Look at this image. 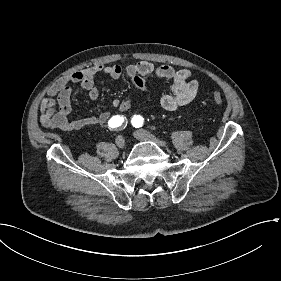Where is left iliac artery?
<instances>
[{"instance_id": "left-iliac-artery-1", "label": "left iliac artery", "mask_w": 281, "mask_h": 281, "mask_svg": "<svg viewBox=\"0 0 281 281\" xmlns=\"http://www.w3.org/2000/svg\"><path fill=\"white\" fill-rule=\"evenodd\" d=\"M143 117L140 115H134L131 119V123L134 127L139 128L143 125Z\"/></svg>"}]
</instances>
